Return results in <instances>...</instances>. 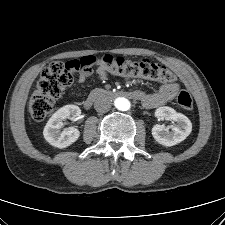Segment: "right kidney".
I'll list each match as a JSON object with an SVG mask.
<instances>
[{
	"instance_id": "right-kidney-1",
	"label": "right kidney",
	"mask_w": 225,
	"mask_h": 225,
	"mask_svg": "<svg viewBox=\"0 0 225 225\" xmlns=\"http://www.w3.org/2000/svg\"><path fill=\"white\" fill-rule=\"evenodd\" d=\"M81 114V110L76 105H66L58 109L47 122L43 130L44 138L52 146L57 148H66L77 141L80 132L75 127L65 128L60 131L63 126L64 119L76 121Z\"/></svg>"
}]
</instances>
